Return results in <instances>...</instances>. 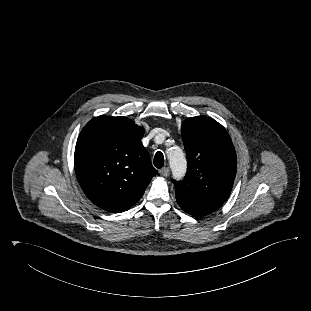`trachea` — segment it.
Instances as JSON below:
<instances>
[{"mask_svg":"<svg viewBox=\"0 0 311 311\" xmlns=\"http://www.w3.org/2000/svg\"><path fill=\"white\" fill-rule=\"evenodd\" d=\"M153 163H154V166L158 169L164 166V155L162 152L158 151L155 154Z\"/></svg>","mask_w":311,"mask_h":311,"instance_id":"trachea-1","label":"trachea"}]
</instances>
